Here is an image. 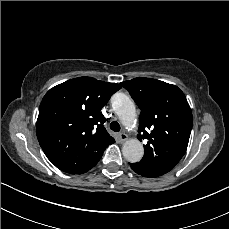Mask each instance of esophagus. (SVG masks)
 Listing matches in <instances>:
<instances>
[{
    "instance_id": "obj_1",
    "label": "esophagus",
    "mask_w": 229,
    "mask_h": 229,
    "mask_svg": "<svg viewBox=\"0 0 229 229\" xmlns=\"http://www.w3.org/2000/svg\"><path fill=\"white\" fill-rule=\"evenodd\" d=\"M119 138H120L121 142H124V141L127 140L128 136H127V134L122 132V133L119 134Z\"/></svg>"
}]
</instances>
